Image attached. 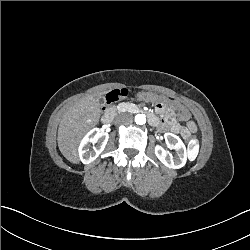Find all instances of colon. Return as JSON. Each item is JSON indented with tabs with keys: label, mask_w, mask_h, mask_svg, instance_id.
Listing matches in <instances>:
<instances>
[{
	"label": "colon",
	"mask_w": 250,
	"mask_h": 250,
	"mask_svg": "<svg viewBox=\"0 0 250 250\" xmlns=\"http://www.w3.org/2000/svg\"><path fill=\"white\" fill-rule=\"evenodd\" d=\"M128 93L129 91L126 88H119V89L112 90L106 95V102L108 104H111L116 101L122 100L128 96ZM187 140L189 143L192 144L195 142L196 139L194 136L191 135L188 137Z\"/></svg>",
	"instance_id": "colon-1"
}]
</instances>
